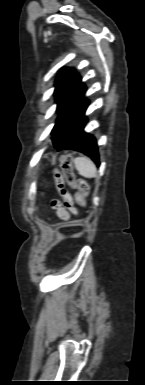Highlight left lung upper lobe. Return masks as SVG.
<instances>
[{
    "instance_id": "left-lung-upper-lobe-1",
    "label": "left lung upper lobe",
    "mask_w": 145,
    "mask_h": 385,
    "mask_svg": "<svg viewBox=\"0 0 145 385\" xmlns=\"http://www.w3.org/2000/svg\"><path fill=\"white\" fill-rule=\"evenodd\" d=\"M55 96L59 118L52 130L55 134L63 119L81 101L85 86L74 69H63L56 79Z\"/></svg>"
}]
</instances>
